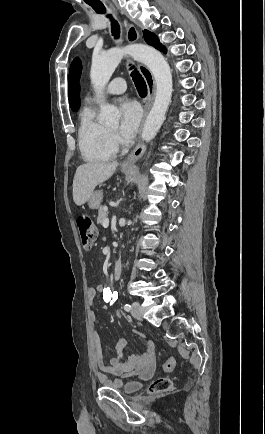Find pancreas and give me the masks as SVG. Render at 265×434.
I'll return each instance as SVG.
<instances>
[{"label":"pancreas","instance_id":"pancreas-1","mask_svg":"<svg viewBox=\"0 0 265 434\" xmlns=\"http://www.w3.org/2000/svg\"><path fill=\"white\" fill-rule=\"evenodd\" d=\"M108 214L109 212H105L104 206H99L97 224H101V226H103L104 220H107Z\"/></svg>","mask_w":265,"mask_h":434}]
</instances>
